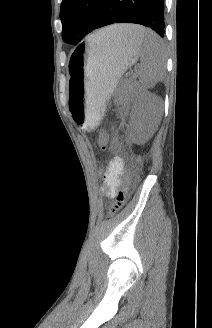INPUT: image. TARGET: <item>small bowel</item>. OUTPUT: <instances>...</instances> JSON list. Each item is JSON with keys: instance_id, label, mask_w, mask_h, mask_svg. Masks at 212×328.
Instances as JSON below:
<instances>
[{"instance_id": "small-bowel-1", "label": "small bowel", "mask_w": 212, "mask_h": 328, "mask_svg": "<svg viewBox=\"0 0 212 328\" xmlns=\"http://www.w3.org/2000/svg\"><path fill=\"white\" fill-rule=\"evenodd\" d=\"M125 162L122 157H114L103 172L102 191L108 198H113L121 184V178L125 173Z\"/></svg>"}]
</instances>
